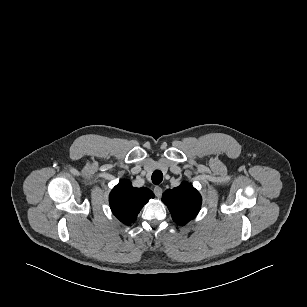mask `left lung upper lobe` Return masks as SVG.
Instances as JSON below:
<instances>
[{
	"instance_id": "5c2ea615",
	"label": "left lung upper lobe",
	"mask_w": 307,
	"mask_h": 307,
	"mask_svg": "<svg viewBox=\"0 0 307 307\" xmlns=\"http://www.w3.org/2000/svg\"><path fill=\"white\" fill-rule=\"evenodd\" d=\"M178 225H185L198 214L202 198L190 184L183 182L176 188L168 189L162 197Z\"/></svg>"
}]
</instances>
